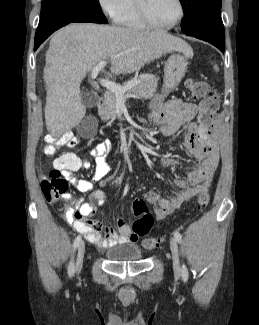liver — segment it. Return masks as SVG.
<instances>
[{
  "instance_id": "6515ba94",
  "label": "liver",
  "mask_w": 259,
  "mask_h": 325,
  "mask_svg": "<svg viewBox=\"0 0 259 325\" xmlns=\"http://www.w3.org/2000/svg\"><path fill=\"white\" fill-rule=\"evenodd\" d=\"M173 51L192 56V49L184 40L163 31L93 23L61 28L50 40L43 71L48 132L59 138L84 118L86 108L81 103L80 84L100 61L110 59L114 74L132 73Z\"/></svg>"
}]
</instances>
